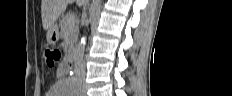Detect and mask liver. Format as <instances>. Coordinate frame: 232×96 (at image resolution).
I'll list each match as a JSON object with an SVG mask.
<instances>
[{
	"label": "liver",
	"instance_id": "obj_1",
	"mask_svg": "<svg viewBox=\"0 0 232 96\" xmlns=\"http://www.w3.org/2000/svg\"><path fill=\"white\" fill-rule=\"evenodd\" d=\"M71 0H42L41 17L44 30H50L55 26L58 17L65 11ZM83 1L78 0V3Z\"/></svg>",
	"mask_w": 232,
	"mask_h": 96
}]
</instances>
